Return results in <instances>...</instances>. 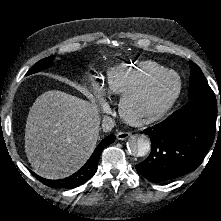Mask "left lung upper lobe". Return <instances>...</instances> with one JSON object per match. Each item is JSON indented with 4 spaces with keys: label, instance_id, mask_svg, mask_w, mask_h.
<instances>
[{
    "label": "left lung upper lobe",
    "instance_id": "left-lung-upper-lobe-1",
    "mask_svg": "<svg viewBox=\"0 0 221 221\" xmlns=\"http://www.w3.org/2000/svg\"><path fill=\"white\" fill-rule=\"evenodd\" d=\"M190 69L189 98L193 99L198 96L215 97L201 69L193 62H190Z\"/></svg>",
    "mask_w": 221,
    "mask_h": 221
}]
</instances>
